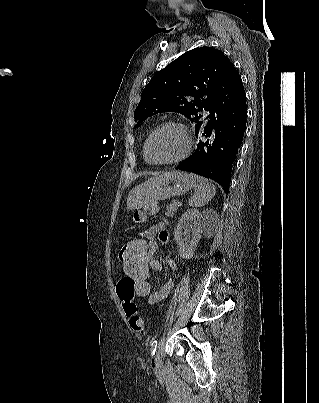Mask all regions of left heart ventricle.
I'll return each mask as SVG.
<instances>
[{
	"instance_id": "1",
	"label": "left heart ventricle",
	"mask_w": 319,
	"mask_h": 403,
	"mask_svg": "<svg viewBox=\"0 0 319 403\" xmlns=\"http://www.w3.org/2000/svg\"><path fill=\"white\" fill-rule=\"evenodd\" d=\"M184 136L175 127L160 130L152 139L149 156L154 161H163L178 156L184 148Z\"/></svg>"
}]
</instances>
